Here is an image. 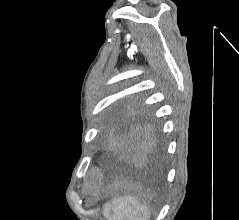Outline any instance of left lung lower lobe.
Listing matches in <instances>:
<instances>
[{"instance_id": "left-lung-lower-lobe-1", "label": "left lung lower lobe", "mask_w": 239, "mask_h": 220, "mask_svg": "<svg viewBox=\"0 0 239 220\" xmlns=\"http://www.w3.org/2000/svg\"><path fill=\"white\" fill-rule=\"evenodd\" d=\"M110 129L106 142L111 165L161 158L157 131L142 114L124 112L114 118Z\"/></svg>"}]
</instances>
